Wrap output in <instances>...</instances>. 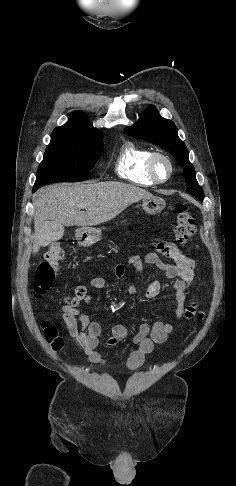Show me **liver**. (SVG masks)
Returning <instances> with one entry per match:
<instances>
[{
  "label": "liver",
  "instance_id": "1",
  "mask_svg": "<svg viewBox=\"0 0 236 486\" xmlns=\"http://www.w3.org/2000/svg\"><path fill=\"white\" fill-rule=\"evenodd\" d=\"M35 200L33 253L47 240L49 222L67 227L94 226L110 221L129 205L153 195L121 182L51 185L40 189ZM83 206L86 211H77Z\"/></svg>",
  "mask_w": 236,
  "mask_h": 486
}]
</instances>
